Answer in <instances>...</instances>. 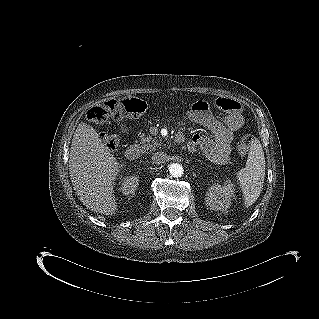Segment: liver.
Here are the masks:
<instances>
[{"instance_id":"6515ba94","label":"liver","mask_w":319,"mask_h":319,"mask_svg":"<svg viewBox=\"0 0 319 319\" xmlns=\"http://www.w3.org/2000/svg\"><path fill=\"white\" fill-rule=\"evenodd\" d=\"M119 168L96 130L81 122L72 139L69 173L78 198L88 209L105 215L117 210L113 183Z\"/></svg>"}]
</instances>
